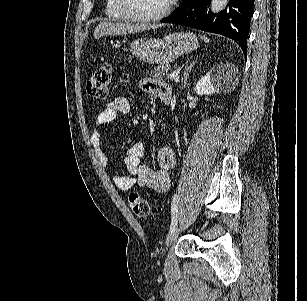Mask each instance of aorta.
I'll return each instance as SVG.
<instances>
[{"label": "aorta", "mask_w": 307, "mask_h": 301, "mask_svg": "<svg viewBox=\"0 0 307 301\" xmlns=\"http://www.w3.org/2000/svg\"><path fill=\"white\" fill-rule=\"evenodd\" d=\"M228 0H212L211 10L212 12H220L227 4Z\"/></svg>", "instance_id": "obj_1"}]
</instances>
